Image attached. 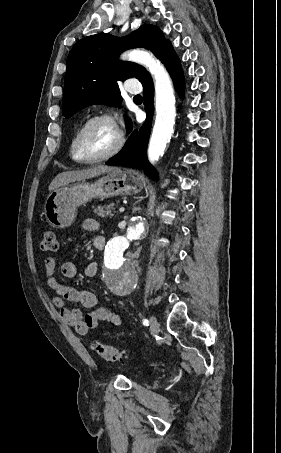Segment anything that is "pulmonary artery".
Listing matches in <instances>:
<instances>
[{
    "instance_id": "1",
    "label": "pulmonary artery",
    "mask_w": 281,
    "mask_h": 453,
    "mask_svg": "<svg viewBox=\"0 0 281 453\" xmlns=\"http://www.w3.org/2000/svg\"><path fill=\"white\" fill-rule=\"evenodd\" d=\"M125 90H127V91H129V92H131V93H134V92H132L130 89H128L127 87H125Z\"/></svg>"
}]
</instances>
